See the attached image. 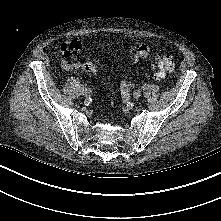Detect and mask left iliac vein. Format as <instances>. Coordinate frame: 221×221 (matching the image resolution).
Here are the masks:
<instances>
[{
  "mask_svg": "<svg viewBox=\"0 0 221 221\" xmlns=\"http://www.w3.org/2000/svg\"><path fill=\"white\" fill-rule=\"evenodd\" d=\"M141 91L140 90H135L134 92H133V97L135 98V99H138L140 96H141Z\"/></svg>",
  "mask_w": 221,
  "mask_h": 221,
  "instance_id": "4c4485c4",
  "label": "left iliac vein"
}]
</instances>
